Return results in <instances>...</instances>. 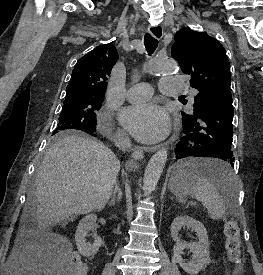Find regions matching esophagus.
I'll return each mask as SVG.
<instances>
[{
  "label": "esophagus",
  "instance_id": "1",
  "mask_svg": "<svg viewBox=\"0 0 263 275\" xmlns=\"http://www.w3.org/2000/svg\"><path fill=\"white\" fill-rule=\"evenodd\" d=\"M148 32L158 40H160L163 37V28H162L161 25L149 26L148 27ZM156 148H157L156 146L155 147H148V148L135 147V149L133 150V153H132V157L135 160H141L143 158V151L144 150L153 151Z\"/></svg>",
  "mask_w": 263,
  "mask_h": 275
}]
</instances>
